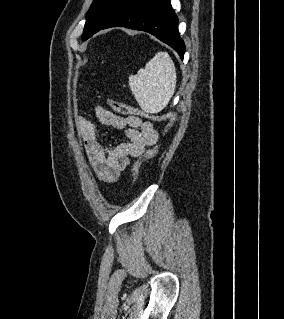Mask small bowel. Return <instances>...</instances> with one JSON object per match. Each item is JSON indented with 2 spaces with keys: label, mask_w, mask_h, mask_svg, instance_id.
I'll list each match as a JSON object with an SVG mask.
<instances>
[{
  "label": "small bowel",
  "mask_w": 284,
  "mask_h": 319,
  "mask_svg": "<svg viewBox=\"0 0 284 319\" xmlns=\"http://www.w3.org/2000/svg\"><path fill=\"white\" fill-rule=\"evenodd\" d=\"M94 112L101 124L125 131L128 138L127 142L105 146L90 120L82 116L76 119V130L96 178L100 182L114 183L128 168L131 158L140 157L156 144L158 131L151 122L136 116L122 117L101 106H96Z\"/></svg>",
  "instance_id": "small-bowel-1"
}]
</instances>
